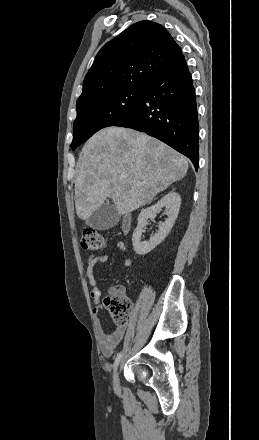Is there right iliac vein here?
<instances>
[{
    "label": "right iliac vein",
    "mask_w": 259,
    "mask_h": 440,
    "mask_svg": "<svg viewBox=\"0 0 259 440\" xmlns=\"http://www.w3.org/2000/svg\"><path fill=\"white\" fill-rule=\"evenodd\" d=\"M113 384H114L115 390H118L119 386H120L119 371L118 370L115 371L114 378H113Z\"/></svg>",
    "instance_id": "63e3f726"
}]
</instances>
